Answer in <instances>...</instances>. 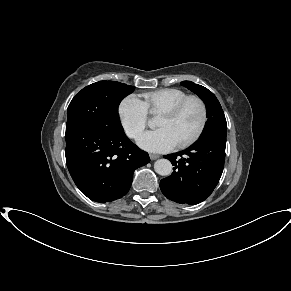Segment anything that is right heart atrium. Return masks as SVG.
Instances as JSON below:
<instances>
[{
    "instance_id": "right-heart-atrium-1",
    "label": "right heart atrium",
    "mask_w": 291,
    "mask_h": 291,
    "mask_svg": "<svg viewBox=\"0 0 291 291\" xmlns=\"http://www.w3.org/2000/svg\"><path fill=\"white\" fill-rule=\"evenodd\" d=\"M118 116L124 132L132 139L138 138L148 123V111L143 101L133 94L121 100Z\"/></svg>"
}]
</instances>
